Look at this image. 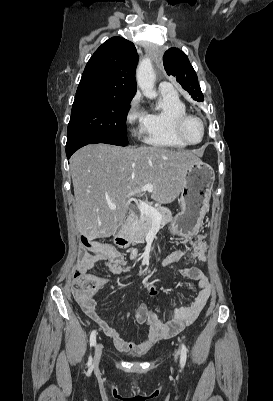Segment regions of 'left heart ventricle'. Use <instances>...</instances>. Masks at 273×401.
Returning a JSON list of instances; mask_svg holds the SVG:
<instances>
[{
	"mask_svg": "<svg viewBox=\"0 0 273 401\" xmlns=\"http://www.w3.org/2000/svg\"><path fill=\"white\" fill-rule=\"evenodd\" d=\"M184 137L191 142H199L203 137V128L196 118L189 119L183 128Z\"/></svg>",
	"mask_w": 273,
	"mask_h": 401,
	"instance_id": "b2bd125f",
	"label": "left heart ventricle"
}]
</instances>
